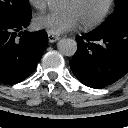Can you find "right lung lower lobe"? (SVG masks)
Segmentation results:
<instances>
[{"label":"right lung lower lobe","mask_w":128,"mask_h":128,"mask_svg":"<svg viewBox=\"0 0 128 128\" xmlns=\"http://www.w3.org/2000/svg\"><path fill=\"white\" fill-rule=\"evenodd\" d=\"M30 19L17 23L0 21V82L15 84L32 74L48 44L44 31L23 29Z\"/></svg>","instance_id":"98d812e1"}]
</instances>
